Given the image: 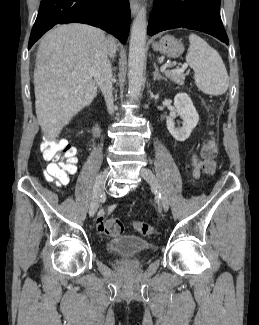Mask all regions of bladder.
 <instances>
[{
	"label": "bladder",
	"mask_w": 259,
	"mask_h": 325,
	"mask_svg": "<svg viewBox=\"0 0 259 325\" xmlns=\"http://www.w3.org/2000/svg\"><path fill=\"white\" fill-rule=\"evenodd\" d=\"M151 249V245L136 236H123L106 244L110 256H141Z\"/></svg>",
	"instance_id": "obj_1"
}]
</instances>
